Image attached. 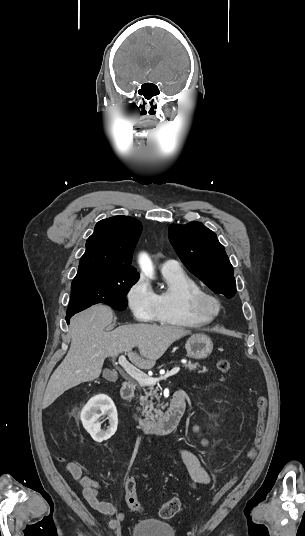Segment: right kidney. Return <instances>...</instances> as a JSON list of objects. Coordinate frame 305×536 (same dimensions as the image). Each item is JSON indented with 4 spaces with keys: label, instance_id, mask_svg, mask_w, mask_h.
<instances>
[{
    "label": "right kidney",
    "instance_id": "obj_1",
    "mask_svg": "<svg viewBox=\"0 0 305 536\" xmlns=\"http://www.w3.org/2000/svg\"><path fill=\"white\" fill-rule=\"evenodd\" d=\"M101 416H107L106 420H109L108 430H101ZM81 420L85 430L95 442L109 440L115 434L118 426L117 410L111 398L103 396V394L89 400L81 412Z\"/></svg>",
    "mask_w": 305,
    "mask_h": 536
}]
</instances>
